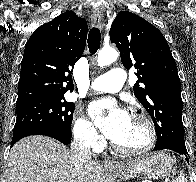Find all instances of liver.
<instances>
[{"label":"liver","instance_id":"liver-1","mask_svg":"<svg viewBox=\"0 0 196 182\" xmlns=\"http://www.w3.org/2000/svg\"><path fill=\"white\" fill-rule=\"evenodd\" d=\"M104 172L92 160L76 169L71 152L62 143L35 135L21 139L12 147L6 182H103Z\"/></svg>","mask_w":196,"mask_h":182}]
</instances>
